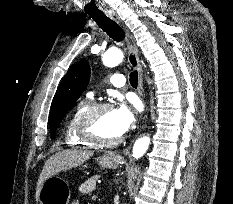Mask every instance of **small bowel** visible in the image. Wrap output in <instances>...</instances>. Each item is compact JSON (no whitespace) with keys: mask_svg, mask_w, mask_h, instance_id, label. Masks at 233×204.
<instances>
[{"mask_svg":"<svg viewBox=\"0 0 233 204\" xmlns=\"http://www.w3.org/2000/svg\"><path fill=\"white\" fill-rule=\"evenodd\" d=\"M74 204H79L78 202H75Z\"/></svg>","mask_w":233,"mask_h":204,"instance_id":"c3829d8e","label":"small bowel"}]
</instances>
